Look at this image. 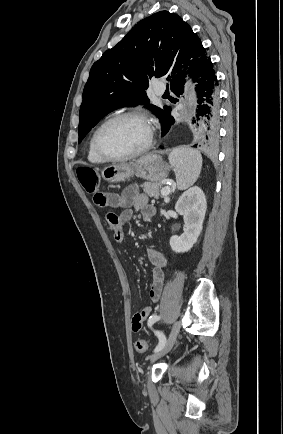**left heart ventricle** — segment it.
Instances as JSON below:
<instances>
[{
	"mask_svg": "<svg viewBox=\"0 0 283 434\" xmlns=\"http://www.w3.org/2000/svg\"><path fill=\"white\" fill-rule=\"evenodd\" d=\"M149 136L148 125L135 118L109 124L100 134L101 147L111 155H124L142 148Z\"/></svg>",
	"mask_w": 283,
	"mask_h": 434,
	"instance_id": "left-heart-ventricle-1",
	"label": "left heart ventricle"
}]
</instances>
